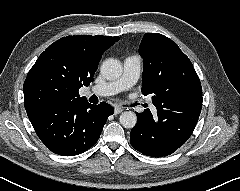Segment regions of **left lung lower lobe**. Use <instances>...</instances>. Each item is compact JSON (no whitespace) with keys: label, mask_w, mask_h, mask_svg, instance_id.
Here are the masks:
<instances>
[{"label":"left lung lower lobe","mask_w":240,"mask_h":191,"mask_svg":"<svg viewBox=\"0 0 240 191\" xmlns=\"http://www.w3.org/2000/svg\"><path fill=\"white\" fill-rule=\"evenodd\" d=\"M201 107L195 101L182 100L172 110H157V116L149 109L136 113L138 121L130 133L131 145L147 156L172 154L191 136Z\"/></svg>","instance_id":"left-lung-lower-lobe-1"}]
</instances>
